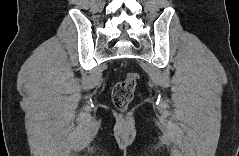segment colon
<instances>
[{"label": "colon", "mask_w": 239, "mask_h": 156, "mask_svg": "<svg viewBox=\"0 0 239 156\" xmlns=\"http://www.w3.org/2000/svg\"><path fill=\"white\" fill-rule=\"evenodd\" d=\"M138 80L139 75L131 72L124 80L115 84L112 90V102L117 109L123 110L132 102Z\"/></svg>", "instance_id": "obj_1"}]
</instances>
